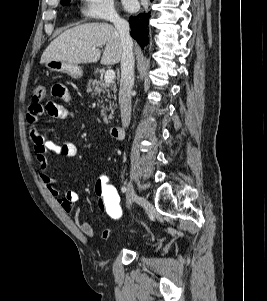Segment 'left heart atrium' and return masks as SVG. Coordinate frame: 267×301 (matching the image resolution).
Instances as JSON below:
<instances>
[{
  "label": "left heart atrium",
  "instance_id": "39dd6f15",
  "mask_svg": "<svg viewBox=\"0 0 267 301\" xmlns=\"http://www.w3.org/2000/svg\"><path fill=\"white\" fill-rule=\"evenodd\" d=\"M122 3L125 7V9L132 11L136 8L137 2L136 0H122Z\"/></svg>",
  "mask_w": 267,
  "mask_h": 301
}]
</instances>
